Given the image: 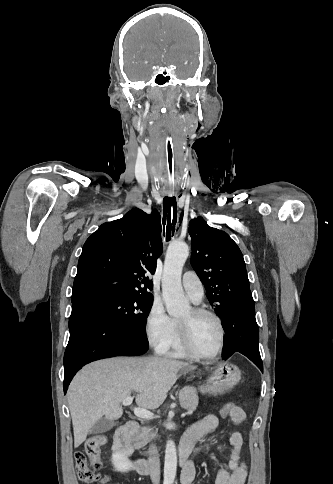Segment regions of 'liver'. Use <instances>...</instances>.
<instances>
[{
    "instance_id": "liver-1",
    "label": "liver",
    "mask_w": 333,
    "mask_h": 484,
    "mask_svg": "<svg viewBox=\"0 0 333 484\" xmlns=\"http://www.w3.org/2000/svg\"><path fill=\"white\" fill-rule=\"evenodd\" d=\"M197 367L187 362L160 358H110L85 366L73 378L67 392L74 447L82 444L92 426L103 416L115 420L122 416L121 402L136 392V404L157 409L178 379Z\"/></svg>"
}]
</instances>
